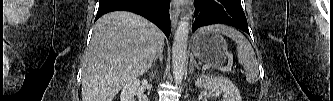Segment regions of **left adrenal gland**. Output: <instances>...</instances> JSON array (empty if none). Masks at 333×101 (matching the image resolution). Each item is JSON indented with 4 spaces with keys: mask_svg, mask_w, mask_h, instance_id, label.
Returning <instances> with one entry per match:
<instances>
[{
    "mask_svg": "<svg viewBox=\"0 0 333 101\" xmlns=\"http://www.w3.org/2000/svg\"><path fill=\"white\" fill-rule=\"evenodd\" d=\"M200 69L199 65L195 61L194 57L191 56L190 58V66H189V72L192 74L194 71V68Z\"/></svg>",
    "mask_w": 333,
    "mask_h": 101,
    "instance_id": "1",
    "label": "left adrenal gland"
}]
</instances>
